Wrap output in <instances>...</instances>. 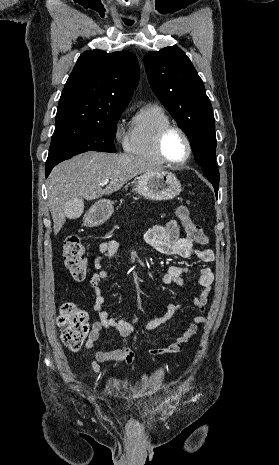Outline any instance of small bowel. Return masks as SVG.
Wrapping results in <instances>:
<instances>
[{"instance_id":"c3829d8e","label":"small bowel","mask_w":279,"mask_h":465,"mask_svg":"<svg viewBox=\"0 0 279 465\" xmlns=\"http://www.w3.org/2000/svg\"><path fill=\"white\" fill-rule=\"evenodd\" d=\"M146 242L156 251L165 254L179 256L183 259L196 258L206 264L214 261V252L210 249L196 248L188 237L181 236V229L175 220L169 221L166 225H155L151 227L145 234ZM118 249V243L109 239L99 245V255L95 258L94 266L97 269L91 279L90 284L95 295L93 309L99 315V320L91 326L88 340L85 343V349L93 348L94 343L98 340L102 329L115 330L121 337V344L110 351H98L95 353L94 359L91 362L94 373L99 374L101 371V363H109L113 365L126 364L131 365L135 360L134 352L128 347L130 335L134 332L135 327L123 320L118 319L109 314L104 308V296L102 292V282L108 278V272L102 269V261L112 258ZM190 270L179 265H170L167 271L162 276V282L165 285L175 284L182 288L197 287L198 294L193 299V304L202 313L205 312L211 285L213 282V272L210 266H205L199 269L198 277L191 284L184 279L183 274ZM178 304H170L163 315L149 319L144 325L146 332H151L167 320H169L174 312L179 309ZM207 317L202 315L193 316L187 324L185 330L162 347L152 349V355L160 354H176L182 351L184 345L196 335L198 327L206 323Z\"/></svg>"}]
</instances>
